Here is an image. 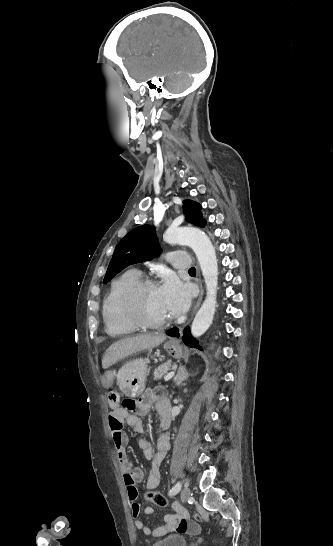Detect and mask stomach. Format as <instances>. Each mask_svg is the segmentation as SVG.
<instances>
[{
  "label": "stomach",
  "instance_id": "stomach-1",
  "mask_svg": "<svg viewBox=\"0 0 333 546\" xmlns=\"http://www.w3.org/2000/svg\"><path fill=\"white\" fill-rule=\"evenodd\" d=\"M167 353L173 358L182 357V347L173 339L164 345ZM147 360L136 359L124 364L117 372L116 377L122 392L128 397L140 396L145 388L147 375Z\"/></svg>",
  "mask_w": 333,
  "mask_h": 546
}]
</instances>
